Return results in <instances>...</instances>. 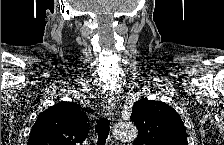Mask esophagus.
<instances>
[{
	"label": "esophagus",
	"mask_w": 224,
	"mask_h": 145,
	"mask_svg": "<svg viewBox=\"0 0 224 145\" xmlns=\"http://www.w3.org/2000/svg\"><path fill=\"white\" fill-rule=\"evenodd\" d=\"M114 109H115V103L112 98L108 99V102L105 106L104 114L105 116H113L114 115Z\"/></svg>",
	"instance_id": "esophagus-1"
}]
</instances>
